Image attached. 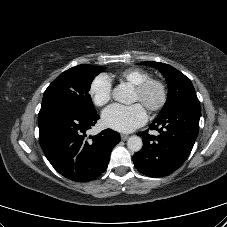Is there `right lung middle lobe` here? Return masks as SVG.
<instances>
[{
    "label": "right lung middle lobe",
    "mask_w": 227,
    "mask_h": 227,
    "mask_svg": "<svg viewBox=\"0 0 227 227\" xmlns=\"http://www.w3.org/2000/svg\"><path fill=\"white\" fill-rule=\"evenodd\" d=\"M106 67L78 65L60 74L45 90L41 109L62 105L96 114L89 90L93 79Z\"/></svg>",
    "instance_id": "dd1d6c3e"
}]
</instances>
